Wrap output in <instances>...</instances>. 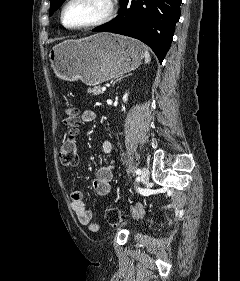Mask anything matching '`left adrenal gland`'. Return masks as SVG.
I'll return each instance as SVG.
<instances>
[{"label":"left adrenal gland","instance_id":"left-adrenal-gland-1","mask_svg":"<svg viewBox=\"0 0 240 281\" xmlns=\"http://www.w3.org/2000/svg\"><path fill=\"white\" fill-rule=\"evenodd\" d=\"M130 75H131V74H128V75L121 76V77L117 78V79L112 83V86H114L116 82L121 81L123 78L128 77V76H130Z\"/></svg>","mask_w":240,"mask_h":281}]
</instances>
